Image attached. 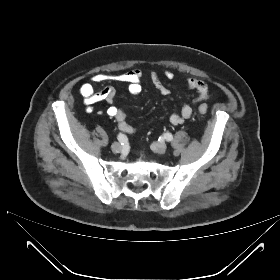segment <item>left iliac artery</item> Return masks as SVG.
I'll return each mask as SVG.
<instances>
[{"label": "left iliac artery", "mask_w": 280, "mask_h": 280, "mask_svg": "<svg viewBox=\"0 0 280 280\" xmlns=\"http://www.w3.org/2000/svg\"><path fill=\"white\" fill-rule=\"evenodd\" d=\"M164 139L169 142V141H172L173 136H172L171 133H165L164 134Z\"/></svg>", "instance_id": "1"}]
</instances>
